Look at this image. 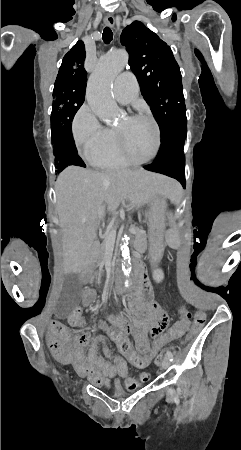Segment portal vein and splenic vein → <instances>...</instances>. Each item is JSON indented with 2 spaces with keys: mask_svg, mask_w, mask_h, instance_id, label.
Returning a JSON list of instances; mask_svg holds the SVG:
<instances>
[{
  "mask_svg": "<svg viewBox=\"0 0 241 450\" xmlns=\"http://www.w3.org/2000/svg\"><path fill=\"white\" fill-rule=\"evenodd\" d=\"M129 230L132 231L129 234L130 236H132L133 234H136L137 226H132V228H130ZM115 238L116 230H114V228H110V232H107L105 240H107V242H115Z\"/></svg>",
  "mask_w": 241,
  "mask_h": 450,
  "instance_id": "18ae733b",
  "label": "portal vein and splenic vein"
}]
</instances>
